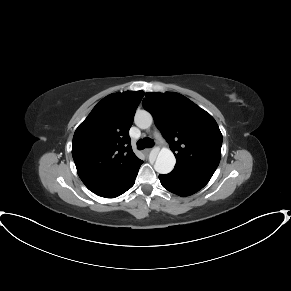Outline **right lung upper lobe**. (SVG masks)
Instances as JSON below:
<instances>
[{
    "label": "right lung upper lobe",
    "mask_w": 291,
    "mask_h": 291,
    "mask_svg": "<svg viewBox=\"0 0 291 291\" xmlns=\"http://www.w3.org/2000/svg\"><path fill=\"white\" fill-rule=\"evenodd\" d=\"M143 91L110 94L73 136L72 156L86 187L101 193L119 187L143 162L132 151L129 129Z\"/></svg>",
    "instance_id": "right-lung-upper-lobe-1"
}]
</instances>
